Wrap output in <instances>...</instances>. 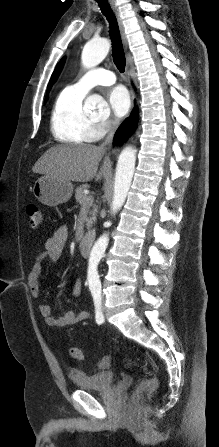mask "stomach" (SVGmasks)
<instances>
[{
    "instance_id": "obj_1",
    "label": "stomach",
    "mask_w": 219,
    "mask_h": 447,
    "mask_svg": "<svg viewBox=\"0 0 219 447\" xmlns=\"http://www.w3.org/2000/svg\"><path fill=\"white\" fill-rule=\"evenodd\" d=\"M32 192L38 201L52 207L71 198L73 185L70 181L45 174L34 182Z\"/></svg>"
}]
</instances>
